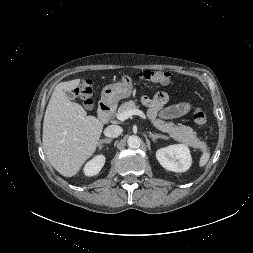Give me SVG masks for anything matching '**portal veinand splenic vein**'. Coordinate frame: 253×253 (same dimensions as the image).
Masks as SVG:
<instances>
[{
  "mask_svg": "<svg viewBox=\"0 0 253 253\" xmlns=\"http://www.w3.org/2000/svg\"><path fill=\"white\" fill-rule=\"evenodd\" d=\"M133 115H138L142 118H146L145 114L139 109H132V110L120 113V114L116 115V118L120 121H124V120H127L128 118H130Z\"/></svg>",
  "mask_w": 253,
  "mask_h": 253,
  "instance_id": "portal-vein-and-splenic-vein-1",
  "label": "portal vein and splenic vein"
}]
</instances>
